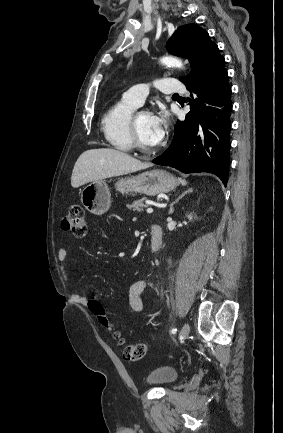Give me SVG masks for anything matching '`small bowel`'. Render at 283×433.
<instances>
[{"mask_svg": "<svg viewBox=\"0 0 283 433\" xmlns=\"http://www.w3.org/2000/svg\"><path fill=\"white\" fill-rule=\"evenodd\" d=\"M57 257L60 262V271L64 275L65 278L68 277V250L64 247H61L57 251ZM146 280H138L133 282L128 291V303L133 312L139 313L142 312L144 308L142 294L147 288ZM72 300L80 305H87L88 298L79 293L73 292L71 296Z\"/></svg>", "mask_w": 283, "mask_h": 433, "instance_id": "obj_1", "label": "small bowel"}]
</instances>
